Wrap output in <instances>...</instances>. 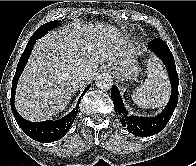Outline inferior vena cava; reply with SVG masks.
Instances as JSON below:
<instances>
[{
	"label": "inferior vena cava",
	"mask_w": 196,
	"mask_h": 166,
	"mask_svg": "<svg viewBox=\"0 0 196 166\" xmlns=\"http://www.w3.org/2000/svg\"><path fill=\"white\" fill-rule=\"evenodd\" d=\"M74 77L78 82H83L87 79L88 73L86 71H83L82 69H77Z\"/></svg>",
	"instance_id": "1"
}]
</instances>
